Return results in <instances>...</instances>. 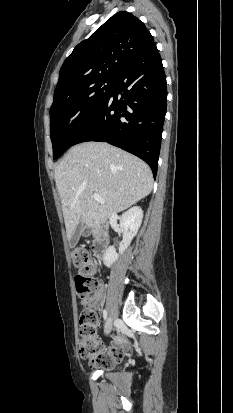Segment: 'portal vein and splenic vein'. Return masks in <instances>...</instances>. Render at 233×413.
I'll use <instances>...</instances> for the list:
<instances>
[{
	"mask_svg": "<svg viewBox=\"0 0 233 413\" xmlns=\"http://www.w3.org/2000/svg\"><path fill=\"white\" fill-rule=\"evenodd\" d=\"M92 197H93L94 200H96L98 202H101V203L104 202V200L101 198V196L99 194H93Z\"/></svg>",
	"mask_w": 233,
	"mask_h": 413,
	"instance_id": "obj_1",
	"label": "portal vein and splenic vein"
}]
</instances>
